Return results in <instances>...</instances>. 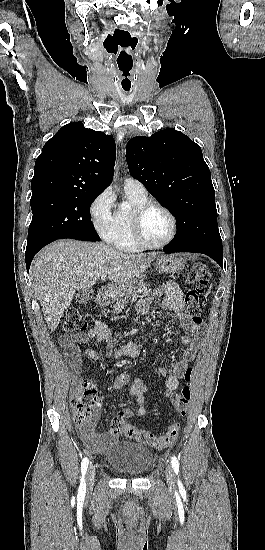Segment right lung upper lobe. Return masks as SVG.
I'll return each mask as SVG.
<instances>
[{
  "instance_id": "right-lung-upper-lobe-1",
  "label": "right lung upper lobe",
  "mask_w": 265,
  "mask_h": 550,
  "mask_svg": "<svg viewBox=\"0 0 265 550\" xmlns=\"http://www.w3.org/2000/svg\"><path fill=\"white\" fill-rule=\"evenodd\" d=\"M115 157L111 136L82 122L69 123L45 143L37 158L32 194L99 195L112 181Z\"/></svg>"
}]
</instances>
